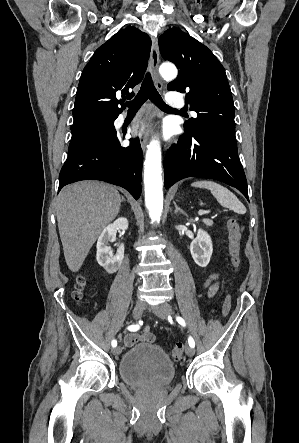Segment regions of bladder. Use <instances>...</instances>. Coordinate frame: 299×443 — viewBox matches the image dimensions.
Returning a JSON list of instances; mask_svg holds the SVG:
<instances>
[{
  "mask_svg": "<svg viewBox=\"0 0 299 443\" xmlns=\"http://www.w3.org/2000/svg\"><path fill=\"white\" fill-rule=\"evenodd\" d=\"M118 374L134 388H165L174 382L176 367L159 345L140 343L123 354L119 360Z\"/></svg>",
  "mask_w": 299,
  "mask_h": 443,
  "instance_id": "31cf9c89",
  "label": "bladder"
}]
</instances>
